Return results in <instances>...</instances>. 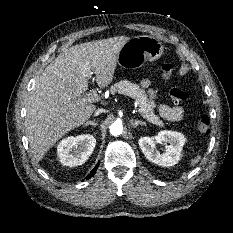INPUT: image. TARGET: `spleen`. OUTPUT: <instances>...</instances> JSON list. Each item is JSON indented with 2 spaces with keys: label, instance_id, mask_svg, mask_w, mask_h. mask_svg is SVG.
Masks as SVG:
<instances>
[{
  "label": "spleen",
  "instance_id": "spleen-1",
  "mask_svg": "<svg viewBox=\"0 0 233 233\" xmlns=\"http://www.w3.org/2000/svg\"><path fill=\"white\" fill-rule=\"evenodd\" d=\"M200 160H201V155H197L194 158H192L190 161V167L196 166V164H198Z\"/></svg>",
  "mask_w": 233,
  "mask_h": 233
}]
</instances>
